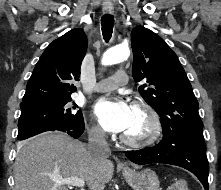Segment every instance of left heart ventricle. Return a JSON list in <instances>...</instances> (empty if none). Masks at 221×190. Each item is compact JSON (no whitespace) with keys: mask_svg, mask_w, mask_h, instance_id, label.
<instances>
[{"mask_svg":"<svg viewBox=\"0 0 221 190\" xmlns=\"http://www.w3.org/2000/svg\"><path fill=\"white\" fill-rule=\"evenodd\" d=\"M148 128V119L144 112L133 108L132 121L124 134L138 139L146 135Z\"/></svg>","mask_w":221,"mask_h":190,"instance_id":"left-heart-ventricle-1","label":"left heart ventricle"}]
</instances>
